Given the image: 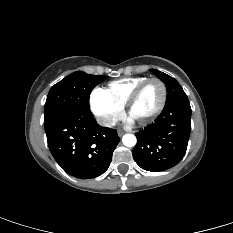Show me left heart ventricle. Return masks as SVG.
Masks as SVG:
<instances>
[{
    "label": "left heart ventricle",
    "mask_w": 233,
    "mask_h": 233,
    "mask_svg": "<svg viewBox=\"0 0 233 233\" xmlns=\"http://www.w3.org/2000/svg\"><path fill=\"white\" fill-rule=\"evenodd\" d=\"M162 98V88L159 83H149L141 92L130 111V117L136 121L150 116L159 106Z\"/></svg>",
    "instance_id": "left-heart-ventricle-1"
}]
</instances>
